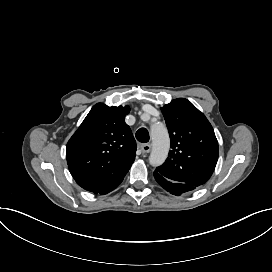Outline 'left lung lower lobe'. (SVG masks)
<instances>
[{
    "label": "left lung lower lobe",
    "mask_w": 272,
    "mask_h": 272,
    "mask_svg": "<svg viewBox=\"0 0 272 272\" xmlns=\"http://www.w3.org/2000/svg\"><path fill=\"white\" fill-rule=\"evenodd\" d=\"M154 177L161 187H163L166 191L176 196H180L183 193L196 189V187L192 185L169 180L162 176L161 174H159L157 171H154Z\"/></svg>",
    "instance_id": "left-lung-lower-lobe-1"
}]
</instances>
